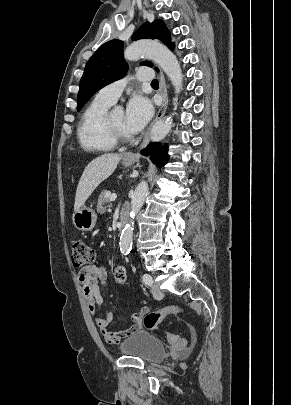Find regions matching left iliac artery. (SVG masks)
<instances>
[{
    "instance_id": "44dca946",
    "label": "left iliac artery",
    "mask_w": 291,
    "mask_h": 405,
    "mask_svg": "<svg viewBox=\"0 0 291 405\" xmlns=\"http://www.w3.org/2000/svg\"><path fill=\"white\" fill-rule=\"evenodd\" d=\"M143 282H144L146 285L151 286V285L153 284L152 276L149 275V274H144V275H143Z\"/></svg>"
}]
</instances>
